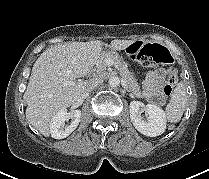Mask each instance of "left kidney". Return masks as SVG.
<instances>
[{
	"mask_svg": "<svg viewBox=\"0 0 209 179\" xmlns=\"http://www.w3.org/2000/svg\"><path fill=\"white\" fill-rule=\"evenodd\" d=\"M129 108L131 121L140 133L149 137H156L164 133L166 129V116L160 107L154 104L145 106L140 101H132ZM140 108H145L147 121L142 119Z\"/></svg>",
	"mask_w": 209,
	"mask_h": 179,
	"instance_id": "obj_1",
	"label": "left kidney"
}]
</instances>
